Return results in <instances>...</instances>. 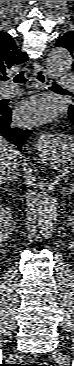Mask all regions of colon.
Here are the masks:
<instances>
[{
  "label": "colon",
  "mask_w": 74,
  "mask_h": 366,
  "mask_svg": "<svg viewBox=\"0 0 74 366\" xmlns=\"http://www.w3.org/2000/svg\"><path fill=\"white\" fill-rule=\"evenodd\" d=\"M30 366H48L46 363H36L35 365Z\"/></svg>",
  "instance_id": "1"
}]
</instances>
